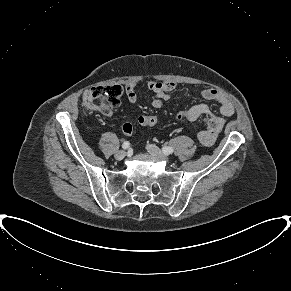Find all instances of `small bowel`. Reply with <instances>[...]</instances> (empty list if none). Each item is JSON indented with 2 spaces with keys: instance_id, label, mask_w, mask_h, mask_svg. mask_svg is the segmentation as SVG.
<instances>
[{
  "instance_id": "small-bowel-1",
  "label": "small bowel",
  "mask_w": 291,
  "mask_h": 291,
  "mask_svg": "<svg viewBox=\"0 0 291 291\" xmlns=\"http://www.w3.org/2000/svg\"><path fill=\"white\" fill-rule=\"evenodd\" d=\"M140 86L139 82L128 83L125 87V93L130 103L136 104L138 101L136 89ZM145 86L154 95L150 104L154 108H160L165 101L170 99V93L176 88L173 82L169 81H148ZM202 96L206 100L216 101L220 105V114H214L207 104H198L188 110L189 122H195L199 117L204 116L206 129L198 133V140L205 146L214 143L216 136L222 131L225 125V117L232 116L235 113L234 105L221 91L208 88L202 91ZM107 116H112V110L105 111Z\"/></svg>"
}]
</instances>
